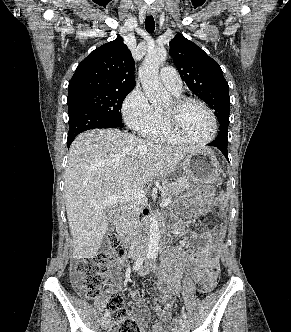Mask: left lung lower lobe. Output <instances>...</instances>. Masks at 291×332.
Instances as JSON below:
<instances>
[{"label": "left lung lower lobe", "instance_id": "1", "mask_svg": "<svg viewBox=\"0 0 291 332\" xmlns=\"http://www.w3.org/2000/svg\"><path fill=\"white\" fill-rule=\"evenodd\" d=\"M208 145L217 147L220 151L223 152V154L229 161L227 152V131H225L223 127H220L218 136L212 143H209Z\"/></svg>", "mask_w": 291, "mask_h": 332}]
</instances>
